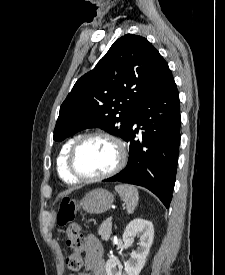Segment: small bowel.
I'll return each instance as SVG.
<instances>
[{
  "label": "small bowel",
  "mask_w": 225,
  "mask_h": 275,
  "mask_svg": "<svg viewBox=\"0 0 225 275\" xmlns=\"http://www.w3.org/2000/svg\"><path fill=\"white\" fill-rule=\"evenodd\" d=\"M82 250L85 253V271L78 275H106L103 248L100 241L93 235H87Z\"/></svg>",
  "instance_id": "1"
}]
</instances>
